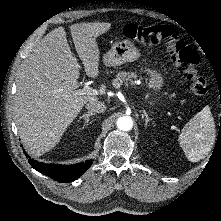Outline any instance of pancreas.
Here are the masks:
<instances>
[{
    "label": "pancreas",
    "mask_w": 221,
    "mask_h": 221,
    "mask_svg": "<svg viewBox=\"0 0 221 221\" xmlns=\"http://www.w3.org/2000/svg\"><path fill=\"white\" fill-rule=\"evenodd\" d=\"M137 75L135 73L129 72H119L117 77L113 80V86L118 89L122 83L125 81L126 83L133 84V79H136Z\"/></svg>",
    "instance_id": "obj_1"
}]
</instances>
